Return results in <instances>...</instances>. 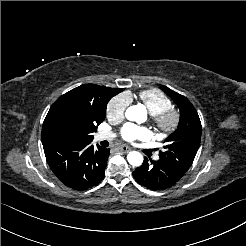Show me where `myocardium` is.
Here are the masks:
<instances>
[{
    "mask_svg": "<svg viewBox=\"0 0 246 246\" xmlns=\"http://www.w3.org/2000/svg\"><path fill=\"white\" fill-rule=\"evenodd\" d=\"M180 113L174 107H170L158 114L152 115L155 127L164 134L172 133L178 126Z\"/></svg>",
    "mask_w": 246,
    "mask_h": 246,
    "instance_id": "obj_1",
    "label": "myocardium"
}]
</instances>
